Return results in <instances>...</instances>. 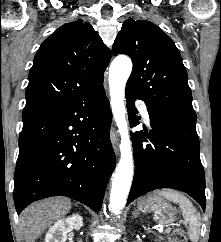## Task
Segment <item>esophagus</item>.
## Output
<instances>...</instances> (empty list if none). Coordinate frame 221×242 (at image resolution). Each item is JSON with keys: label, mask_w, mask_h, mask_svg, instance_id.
Listing matches in <instances>:
<instances>
[{"label": "esophagus", "mask_w": 221, "mask_h": 242, "mask_svg": "<svg viewBox=\"0 0 221 242\" xmlns=\"http://www.w3.org/2000/svg\"><path fill=\"white\" fill-rule=\"evenodd\" d=\"M110 139H111V143H112V146L114 148V151L118 155V136H117V132H116L115 126L111 127Z\"/></svg>", "instance_id": "1"}]
</instances>
